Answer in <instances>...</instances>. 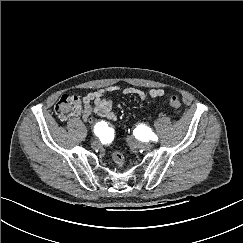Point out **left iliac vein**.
Returning <instances> with one entry per match:
<instances>
[{
  "label": "left iliac vein",
  "instance_id": "4c4485c4",
  "mask_svg": "<svg viewBox=\"0 0 243 243\" xmlns=\"http://www.w3.org/2000/svg\"><path fill=\"white\" fill-rule=\"evenodd\" d=\"M137 147L144 150H150L152 148L151 143H138Z\"/></svg>",
  "mask_w": 243,
  "mask_h": 243
}]
</instances>
